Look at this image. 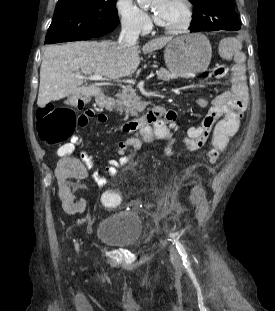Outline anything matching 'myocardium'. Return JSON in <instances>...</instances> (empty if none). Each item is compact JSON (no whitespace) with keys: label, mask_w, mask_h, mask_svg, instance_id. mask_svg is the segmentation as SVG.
Here are the masks:
<instances>
[{"label":"myocardium","mask_w":275,"mask_h":311,"mask_svg":"<svg viewBox=\"0 0 275 311\" xmlns=\"http://www.w3.org/2000/svg\"><path fill=\"white\" fill-rule=\"evenodd\" d=\"M185 9V19L182 24L175 27H167L158 23L159 28L166 33H180L187 30L193 21V6L190 0H179Z\"/></svg>","instance_id":"myocardium-1"}]
</instances>
